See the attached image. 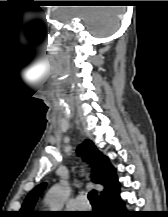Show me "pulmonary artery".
Masks as SVG:
<instances>
[{
    "instance_id": "pulmonary-artery-1",
    "label": "pulmonary artery",
    "mask_w": 168,
    "mask_h": 217,
    "mask_svg": "<svg viewBox=\"0 0 168 217\" xmlns=\"http://www.w3.org/2000/svg\"><path fill=\"white\" fill-rule=\"evenodd\" d=\"M75 205L78 210H86L89 208L86 196L84 194H78L75 197Z\"/></svg>"
}]
</instances>
